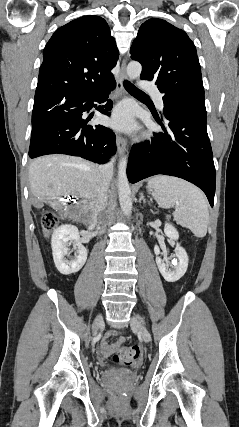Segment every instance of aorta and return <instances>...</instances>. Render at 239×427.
Instances as JSON below:
<instances>
[{
	"label": "aorta",
	"instance_id": "aorta-1",
	"mask_svg": "<svg viewBox=\"0 0 239 427\" xmlns=\"http://www.w3.org/2000/svg\"><path fill=\"white\" fill-rule=\"evenodd\" d=\"M142 66L137 61H132L127 66L129 79L134 80L141 74ZM127 157H122L118 165V195L119 203L123 213L130 216L132 213L131 190L126 174Z\"/></svg>",
	"mask_w": 239,
	"mask_h": 427
}]
</instances>
